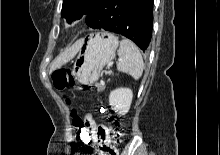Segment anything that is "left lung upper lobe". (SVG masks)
Here are the masks:
<instances>
[{
  "mask_svg": "<svg viewBox=\"0 0 220 155\" xmlns=\"http://www.w3.org/2000/svg\"><path fill=\"white\" fill-rule=\"evenodd\" d=\"M97 2L98 0H63L61 16L68 23H71L77 19H81Z\"/></svg>",
  "mask_w": 220,
  "mask_h": 155,
  "instance_id": "1",
  "label": "left lung upper lobe"
}]
</instances>
